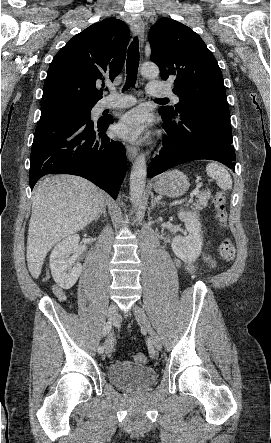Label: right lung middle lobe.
Here are the masks:
<instances>
[{"label":"right lung middle lobe","mask_w":271,"mask_h":443,"mask_svg":"<svg viewBox=\"0 0 271 443\" xmlns=\"http://www.w3.org/2000/svg\"><path fill=\"white\" fill-rule=\"evenodd\" d=\"M95 103H84L74 100H57L41 103V117L63 112H74L87 119H90V112Z\"/></svg>","instance_id":"obj_1"}]
</instances>
